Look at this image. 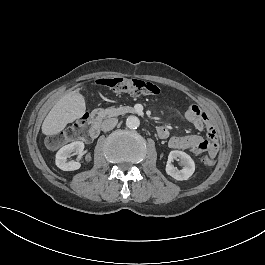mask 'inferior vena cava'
Here are the masks:
<instances>
[{"label": "inferior vena cava", "instance_id": "1", "mask_svg": "<svg viewBox=\"0 0 265 265\" xmlns=\"http://www.w3.org/2000/svg\"><path fill=\"white\" fill-rule=\"evenodd\" d=\"M117 123V118H108L102 122L101 129L102 131H110L117 125Z\"/></svg>", "mask_w": 265, "mask_h": 265}]
</instances>
